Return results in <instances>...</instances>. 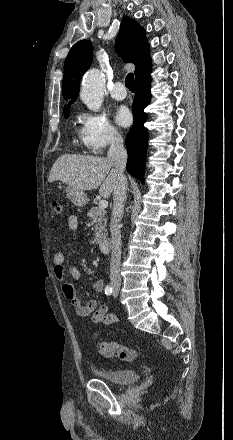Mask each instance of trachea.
Listing matches in <instances>:
<instances>
[{
	"mask_svg": "<svg viewBox=\"0 0 233 440\" xmlns=\"http://www.w3.org/2000/svg\"><path fill=\"white\" fill-rule=\"evenodd\" d=\"M125 86L130 90L133 91L134 90V74L133 73H129L126 76L125 79Z\"/></svg>",
	"mask_w": 233,
	"mask_h": 440,
	"instance_id": "1",
	"label": "trachea"
}]
</instances>
